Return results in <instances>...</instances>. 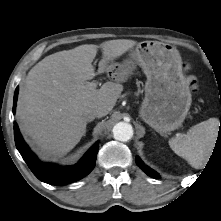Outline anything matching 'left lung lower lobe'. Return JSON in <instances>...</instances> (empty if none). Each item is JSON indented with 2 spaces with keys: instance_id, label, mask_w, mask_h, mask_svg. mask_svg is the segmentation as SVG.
<instances>
[{
  "instance_id": "1",
  "label": "left lung lower lobe",
  "mask_w": 221,
  "mask_h": 221,
  "mask_svg": "<svg viewBox=\"0 0 221 221\" xmlns=\"http://www.w3.org/2000/svg\"><path fill=\"white\" fill-rule=\"evenodd\" d=\"M218 143H220L221 145V138L218 139ZM136 162L138 166L150 177L155 178V179L159 177V175L154 170H152L148 166H145L139 157H136Z\"/></svg>"
}]
</instances>
